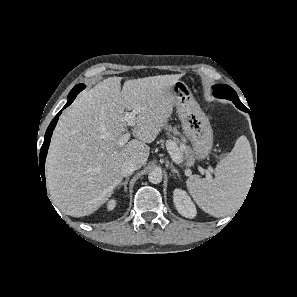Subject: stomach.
Here are the masks:
<instances>
[{"label": "stomach", "mask_w": 297, "mask_h": 297, "mask_svg": "<svg viewBox=\"0 0 297 297\" xmlns=\"http://www.w3.org/2000/svg\"><path fill=\"white\" fill-rule=\"evenodd\" d=\"M170 90L184 134L191 142L192 154L198 160L206 158L213 145V131L208 117L185 82L175 81Z\"/></svg>", "instance_id": "1"}]
</instances>
